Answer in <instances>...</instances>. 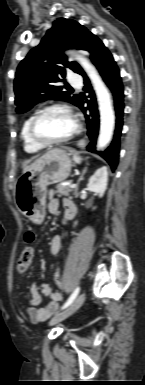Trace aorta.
Segmentation results:
<instances>
[{"mask_svg": "<svg viewBox=\"0 0 145 385\" xmlns=\"http://www.w3.org/2000/svg\"><path fill=\"white\" fill-rule=\"evenodd\" d=\"M76 60L89 76L96 92L100 111V133L97 148L103 149L112 139L115 124V115L111 103L110 93L99 73L87 58L77 55Z\"/></svg>", "mask_w": 145, "mask_h": 385, "instance_id": "obj_1", "label": "aorta"}]
</instances>
